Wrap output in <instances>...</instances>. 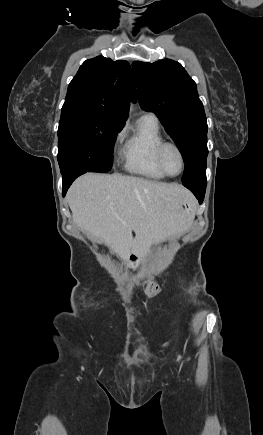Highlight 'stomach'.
I'll return each instance as SVG.
<instances>
[{
	"instance_id": "obj_1",
	"label": "stomach",
	"mask_w": 263,
	"mask_h": 435,
	"mask_svg": "<svg viewBox=\"0 0 263 435\" xmlns=\"http://www.w3.org/2000/svg\"><path fill=\"white\" fill-rule=\"evenodd\" d=\"M181 207L185 214L193 216V208H192V203L190 198L189 200H183L181 202ZM139 260L140 258L137 255L131 256L130 263H129L130 266L137 265L139 263Z\"/></svg>"
}]
</instances>
